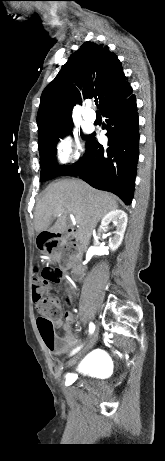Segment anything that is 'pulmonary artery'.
I'll return each instance as SVG.
<instances>
[{
	"instance_id": "pulmonary-artery-1",
	"label": "pulmonary artery",
	"mask_w": 165,
	"mask_h": 461,
	"mask_svg": "<svg viewBox=\"0 0 165 461\" xmlns=\"http://www.w3.org/2000/svg\"><path fill=\"white\" fill-rule=\"evenodd\" d=\"M83 118L88 121V122H94L96 119V115L94 112H90L88 110H85L83 113Z\"/></svg>"
}]
</instances>
